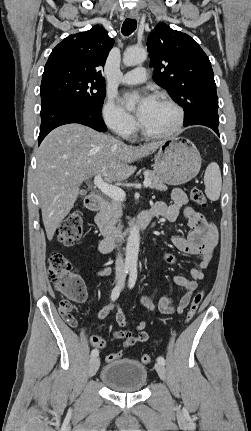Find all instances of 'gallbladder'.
Masks as SVG:
<instances>
[{
    "mask_svg": "<svg viewBox=\"0 0 251 431\" xmlns=\"http://www.w3.org/2000/svg\"><path fill=\"white\" fill-rule=\"evenodd\" d=\"M86 194H87V191H86V190H81V191H80V195H82V196H83V195H86Z\"/></svg>",
    "mask_w": 251,
    "mask_h": 431,
    "instance_id": "1",
    "label": "gallbladder"
}]
</instances>
